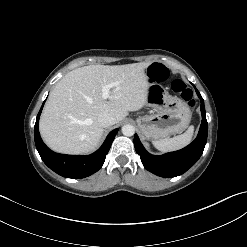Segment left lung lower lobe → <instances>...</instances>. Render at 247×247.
Segmentation results:
<instances>
[{
    "mask_svg": "<svg viewBox=\"0 0 247 247\" xmlns=\"http://www.w3.org/2000/svg\"><path fill=\"white\" fill-rule=\"evenodd\" d=\"M195 90L201 101L202 123L197 138L191 144L179 151L166 153L161 156H155L149 154L144 149L137 134L134 136L135 149L140 155L142 164L148 171L155 175L165 178L179 176L191 168L203 153L207 142L208 129L206 112L204 100L196 88Z\"/></svg>",
    "mask_w": 247,
    "mask_h": 247,
    "instance_id": "1",
    "label": "left lung lower lobe"
}]
</instances>
